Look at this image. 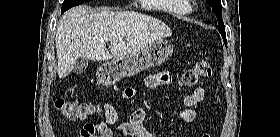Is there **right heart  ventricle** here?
Returning a JSON list of instances; mask_svg holds the SVG:
<instances>
[{"mask_svg": "<svg viewBox=\"0 0 280 137\" xmlns=\"http://www.w3.org/2000/svg\"><path fill=\"white\" fill-rule=\"evenodd\" d=\"M145 1H154L162 2L165 11L169 12L173 16L179 17L186 15L191 8L184 0H145Z\"/></svg>", "mask_w": 280, "mask_h": 137, "instance_id": "e07e8e85", "label": "right heart ventricle"}]
</instances>
